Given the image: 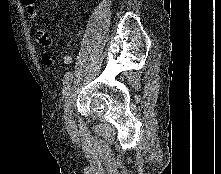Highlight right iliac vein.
Wrapping results in <instances>:
<instances>
[{
    "label": "right iliac vein",
    "mask_w": 221,
    "mask_h": 174,
    "mask_svg": "<svg viewBox=\"0 0 221 174\" xmlns=\"http://www.w3.org/2000/svg\"><path fill=\"white\" fill-rule=\"evenodd\" d=\"M72 103H73V86L70 87L68 96L65 100L64 106V120L68 128H73L74 122L72 118Z\"/></svg>",
    "instance_id": "63e3f726"
}]
</instances>
